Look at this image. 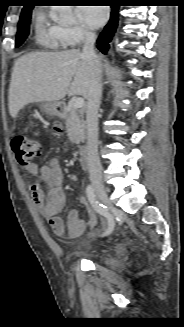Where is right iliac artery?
Segmentation results:
<instances>
[{"instance_id":"right-iliac-artery-1","label":"right iliac artery","mask_w":184,"mask_h":327,"mask_svg":"<svg viewBox=\"0 0 184 327\" xmlns=\"http://www.w3.org/2000/svg\"><path fill=\"white\" fill-rule=\"evenodd\" d=\"M86 195H87V198H88L90 204L94 208V210L97 213H99L100 215L104 216L108 221V228H107V230L104 232V234L102 236L109 235L114 229V219H113V217L107 211L106 207L97 200V197H96V194L94 192V189H93L92 185L87 186Z\"/></svg>"}]
</instances>
